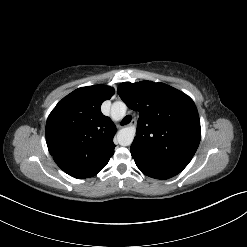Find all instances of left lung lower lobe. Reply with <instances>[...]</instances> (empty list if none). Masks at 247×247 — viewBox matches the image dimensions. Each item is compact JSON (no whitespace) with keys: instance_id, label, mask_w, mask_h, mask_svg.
I'll return each instance as SVG.
<instances>
[{"instance_id":"0a47b994","label":"left lung lower lobe","mask_w":247,"mask_h":247,"mask_svg":"<svg viewBox=\"0 0 247 247\" xmlns=\"http://www.w3.org/2000/svg\"><path fill=\"white\" fill-rule=\"evenodd\" d=\"M131 155L137 167L147 176L165 180L177 175L179 172L163 167L150 157L131 150Z\"/></svg>"}]
</instances>
